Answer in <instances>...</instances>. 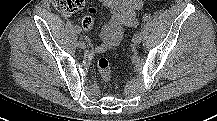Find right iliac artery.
<instances>
[{"mask_svg":"<svg viewBox=\"0 0 217 121\" xmlns=\"http://www.w3.org/2000/svg\"><path fill=\"white\" fill-rule=\"evenodd\" d=\"M74 31L76 34H81L82 33V29L79 26H75Z\"/></svg>","mask_w":217,"mask_h":121,"instance_id":"right-iliac-artery-1","label":"right iliac artery"}]
</instances>
